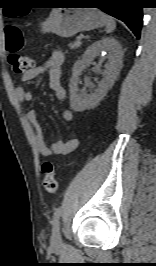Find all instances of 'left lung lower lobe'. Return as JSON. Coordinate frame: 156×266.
Segmentation results:
<instances>
[{"instance_id": "0a47b994", "label": "left lung lower lobe", "mask_w": 156, "mask_h": 266, "mask_svg": "<svg viewBox=\"0 0 156 266\" xmlns=\"http://www.w3.org/2000/svg\"><path fill=\"white\" fill-rule=\"evenodd\" d=\"M68 2L78 6L101 8L105 13L122 20L137 38L140 37L143 18L140 0H68Z\"/></svg>"}]
</instances>
